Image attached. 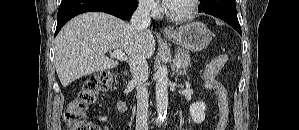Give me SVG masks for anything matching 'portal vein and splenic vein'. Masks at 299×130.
Returning <instances> with one entry per match:
<instances>
[{
  "instance_id": "18ae733b",
  "label": "portal vein and splenic vein",
  "mask_w": 299,
  "mask_h": 130,
  "mask_svg": "<svg viewBox=\"0 0 299 130\" xmlns=\"http://www.w3.org/2000/svg\"><path fill=\"white\" fill-rule=\"evenodd\" d=\"M111 57L116 58L121 61H126L127 56L121 51V50H114L113 52L110 53ZM176 66L178 68L181 67V63L179 60L176 61Z\"/></svg>"
}]
</instances>
